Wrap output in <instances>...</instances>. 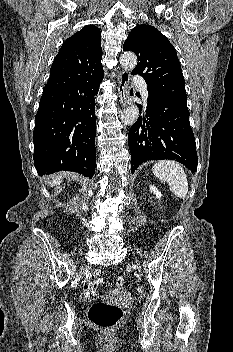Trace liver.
Segmentation results:
<instances>
[{
	"label": "liver",
	"instance_id": "obj_1",
	"mask_svg": "<svg viewBox=\"0 0 233 352\" xmlns=\"http://www.w3.org/2000/svg\"><path fill=\"white\" fill-rule=\"evenodd\" d=\"M63 176H64L63 174H58L56 177L52 176L51 186H54L55 184H59L63 179Z\"/></svg>",
	"mask_w": 233,
	"mask_h": 352
}]
</instances>
